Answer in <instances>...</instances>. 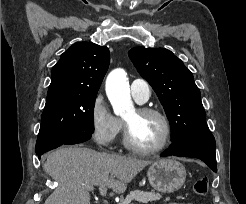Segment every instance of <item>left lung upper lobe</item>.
Returning <instances> with one entry per match:
<instances>
[{
  "instance_id": "obj_1",
  "label": "left lung upper lobe",
  "mask_w": 246,
  "mask_h": 204,
  "mask_svg": "<svg viewBox=\"0 0 246 204\" xmlns=\"http://www.w3.org/2000/svg\"><path fill=\"white\" fill-rule=\"evenodd\" d=\"M128 54L164 107L172 128V142L208 129L200 90L182 60L164 48L135 47Z\"/></svg>"
}]
</instances>
